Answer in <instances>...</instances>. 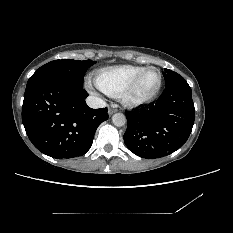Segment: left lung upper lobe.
<instances>
[{
    "label": "left lung upper lobe",
    "instance_id": "left-lung-upper-lobe-1",
    "mask_svg": "<svg viewBox=\"0 0 233 233\" xmlns=\"http://www.w3.org/2000/svg\"><path fill=\"white\" fill-rule=\"evenodd\" d=\"M163 76L165 79V86L170 85L178 79H183V77L180 76L178 73L169 69H165V71L163 72Z\"/></svg>",
    "mask_w": 233,
    "mask_h": 233
}]
</instances>
